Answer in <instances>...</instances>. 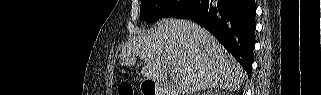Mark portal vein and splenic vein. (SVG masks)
<instances>
[{
	"label": "portal vein and splenic vein",
	"mask_w": 321,
	"mask_h": 95,
	"mask_svg": "<svg viewBox=\"0 0 321 95\" xmlns=\"http://www.w3.org/2000/svg\"><path fill=\"white\" fill-rule=\"evenodd\" d=\"M171 77H172L173 81L175 82V80H176L175 74L171 73Z\"/></svg>",
	"instance_id": "portal-vein-and-splenic-vein-1"
}]
</instances>
